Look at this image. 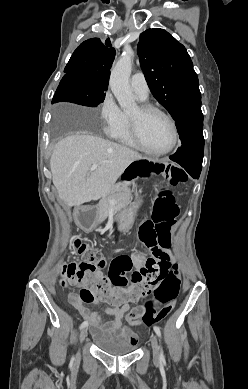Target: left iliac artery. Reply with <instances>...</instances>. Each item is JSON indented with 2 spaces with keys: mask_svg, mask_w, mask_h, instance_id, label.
<instances>
[{
  "mask_svg": "<svg viewBox=\"0 0 248 389\" xmlns=\"http://www.w3.org/2000/svg\"><path fill=\"white\" fill-rule=\"evenodd\" d=\"M153 329H154L155 333L157 334V336H158L159 338H161V331H160V328H159L158 326H154ZM160 360H161V361H164V360H165L164 354H163V350H162V349H161V352H160Z\"/></svg>",
  "mask_w": 248,
  "mask_h": 389,
  "instance_id": "1",
  "label": "left iliac artery"
}]
</instances>
